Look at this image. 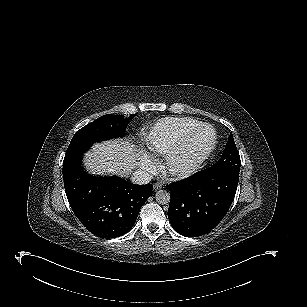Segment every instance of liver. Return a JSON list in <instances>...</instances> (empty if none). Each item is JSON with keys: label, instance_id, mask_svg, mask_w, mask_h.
Wrapping results in <instances>:
<instances>
[{"label": "liver", "instance_id": "liver-1", "mask_svg": "<svg viewBox=\"0 0 307 307\" xmlns=\"http://www.w3.org/2000/svg\"><path fill=\"white\" fill-rule=\"evenodd\" d=\"M86 171L95 175L127 176L136 165L134 149L128 142L111 140L96 143L84 154Z\"/></svg>", "mask_w": 307, "mask_h": 307}]
</instances>
